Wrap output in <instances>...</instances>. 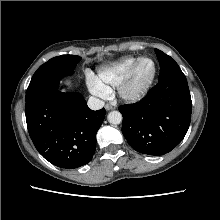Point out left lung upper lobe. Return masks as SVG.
<instances>
[{
  "label": "left lung upper lobe",
  "mask_w": 220,
  "mask_h": 220,
  "mask_svg": "<svg viewBox=\"0 0 220 220\" xmlns=\"http://www.w3.org/2000/svg\"><path fill=\"white\" fill-rule=\"evenodd\" d=\"M155 53L160 62L159 80H162L170 76L183 74L180 67L172 57H170L169 55L165 54L164 52L158 49H155Z\"/></svg>",
  "instance_id": "1"
}]
</instances>
